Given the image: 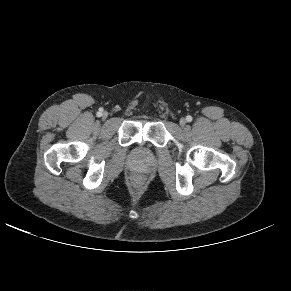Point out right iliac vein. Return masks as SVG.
Here are the masks:
<instances>
[{
  "label": "right iliac vein",
  "mask_w": 291,
  "mask_h": 291,
  "mask_svg": "<svg viewBox=\"0 0 291 291\" xmlns=\"http://www.w3.org/2000/svg\"><path fill=\"white\" fill-rule=\"evenodd\" d=\"M107 116H108L107 112H103V113H102V117H103L104 119L107 118Z\"/></svg>",
  "instance_id": "right-iliac-vein-1"
}]
</instances>
